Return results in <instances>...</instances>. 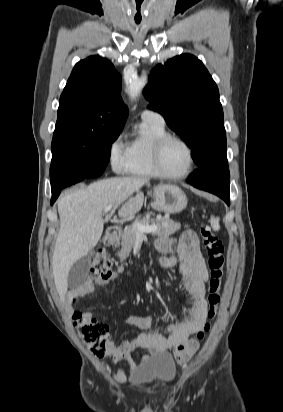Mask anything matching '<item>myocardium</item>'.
I'll return each mask as SVG.
<instances>
[{"instance_id":"obj_1","label":"myocardium","mask_w":283,"mask_h":412,"mask_svg":"<svg viewBox=\"0 0 283 412\" xmlns=\"http://www.w3.org/2000/svg\"><path fill=\"white\" fill-rule=\"evenodd\" d=\"M172 141H176L182 144L186 148L188 155H189V166L187 170L181 174L167 173L162 167V154H163L164 148L169 142H172ZM153 163L158 173V176L167 178V179H183V178H186L194 169V166H195L194 150L192 146L182 137L173 135V134H166L155 142V145L153 148Z\"/></svg>"}]
</instances>
